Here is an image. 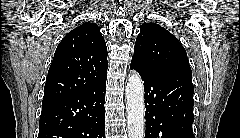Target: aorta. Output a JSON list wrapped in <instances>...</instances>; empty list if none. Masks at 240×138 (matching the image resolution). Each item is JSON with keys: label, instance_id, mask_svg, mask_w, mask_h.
<instances>
[{"label": "aorta", "instance_id": "1", "mask_svg": "<svg viewBox=\"0 0 240 138\" xmlns=\"http://www.w3.org/2000/svg\"><path fill=\"white\" fill-rule=\"evenodd\" d=\"M125 92L128 136L129 138H144V88L137 72L129 75Z\"/></svg>", "mask_w": 240, "mask_h": 138}]
</instances>
